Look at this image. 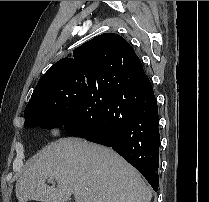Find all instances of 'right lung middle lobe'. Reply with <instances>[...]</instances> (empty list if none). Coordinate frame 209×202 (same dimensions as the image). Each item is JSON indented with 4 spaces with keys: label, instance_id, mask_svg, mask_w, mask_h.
I'll list each match as a JSON object with an SVG mask.
<instances>
[{
    "label": "right lung middle lobe",
    "instance_id": "obj_1",
    "mask_svg": "<svg viewBox=\"0 0 209 202\" xmlns=\"http://www.w3.org/2000/svg\"><path fill=\"white\" fill-rule=\"evenodd\" d=\"M95 81V76L80 73L49 78L25 111V118L29 119L27 127H62L81 109Z\"/></svg>",
    "mask_w": 209,
    "mask_h": 202
}]
</instances>
